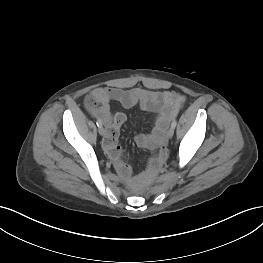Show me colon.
<instances>
[{"label": "colon", "mask_w": 263, "mask_h": 263, "mask_svg": "<svg viewBox=\"0 0 263 263\" xmlns=\"http://www.w3.org/2000/svg\"><path fill=\"white\" fill-rule=\"evenodd\" d=\"M86 104L94 112H99L103 108L102 101H100L99 99H97L91 95L87 97Z\"/></svg>", "instance_id": "5ec220e1"}]
</instances>
